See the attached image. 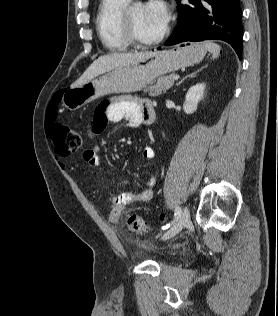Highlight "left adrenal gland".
Here are the masks:
<instances>
[{"label":"left adrenal gland","instance_id":"left-adrenal-gland-1","mask_svg":"<svg viewBox=\"0 0 278 316\" xmlns=\"http://www.w3.org/2000/svg\"><path fill=\"white\" fill-rule=\"evenodd\" d=\"M204 67L198 69L197 71H195L194 73H191L190 75H187L186 77H184L180 82H178L176 84V86H179L181 83H183L185 81V79L187 78H191V77H194L198 72H200Z\"/></svg>","mask_w":278,"mask_h":316}]
</instances>
